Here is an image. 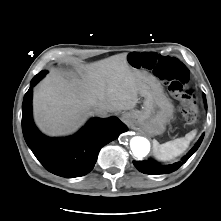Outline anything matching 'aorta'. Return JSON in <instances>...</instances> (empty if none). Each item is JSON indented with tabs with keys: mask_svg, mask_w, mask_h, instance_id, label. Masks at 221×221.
I'll list each match as a JSON object with an SVG mask.
<instances>
[{
	"mask_svg": "<svg viewBox=\"0 0 221 221\" xmlns=\"http://www.w3.org/2000/svg\"><path fill=\"white\" fill-rule=\"evenodd\" d=\"M130 148L134 156L142 158L148 155L150 151V143L144 137L135 136L130 140Z\"/></svg>",
	"mask_w": 221,
	"mask_h": 221,
	"instance_id": "1",
	"label": "aorta"
}]
</instances>
